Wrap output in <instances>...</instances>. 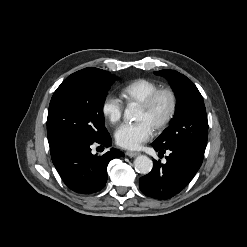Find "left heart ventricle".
I'll list each match as a JSON object with an SVG mask.
<instances>
[{
	"label": "left heart ventricle",
	"instance_id": "1",
	"mask_svg": "<svg viewBox=\"0 0 247 247\" xmlns=\"http://www.w3.org/2000/svg\"><path fill=\"white\" fill-rule=\"evenodd\" d=\"M168 108L169 98L166 95H162L150 111H145L139 107L136 119L138 121H147L152 127H154L166 115Z\"/></svg>",
	"mask_w": 247,
	"mask_h": 247
}]
</instances>
